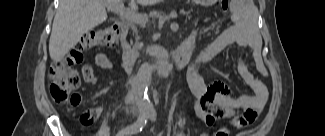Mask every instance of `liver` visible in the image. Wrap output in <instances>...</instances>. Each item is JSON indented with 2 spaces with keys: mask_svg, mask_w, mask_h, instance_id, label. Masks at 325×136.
I'll return each mask as SVG.
<instances>
[{
  "mask_svg": "<svg viewBox=\"0 0 325 136\" xmlns=\"http://www.w3.org/2000/svg\"><path fill=\"white\" fill-rule=\"evenodd\" d=\"M152 5L160 0H136ZM134 2V1H132ZM123 4V0H60L49 40V54L59 61L80 41L81 37L106 18V5Z\"/></svg>",
  "mask_w": 325,
  "mask_h": 136,
  "instance_id": "1",
  "label": "liver"
}]
</instances>
